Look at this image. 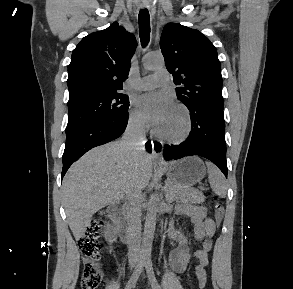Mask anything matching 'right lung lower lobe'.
I'll list each match as a JSON object with an SVG mask.
<instances>
[{
  "label": "right lung lower lobe",
  "instance_id": "right-lung-lower-lobe-1",
  "mask_svg": "<svg viewBox=\"0 0 293 289\" xmlns=\"http://www.w3.org/2000/svg\"><path fill=\"white\" fill-rule=\"evenodd\" d=\"M127 122L128 112L90 122L67 132L61 177L63 178L71 164L88 150L118 138L126 129ZM146 150L152 151L151 143H146Z\"/></svg>",
  "mask_w": 293,
  "mask_h": 289
}]
</instances>
